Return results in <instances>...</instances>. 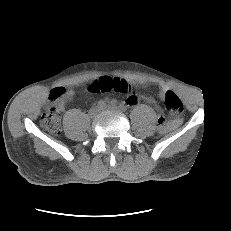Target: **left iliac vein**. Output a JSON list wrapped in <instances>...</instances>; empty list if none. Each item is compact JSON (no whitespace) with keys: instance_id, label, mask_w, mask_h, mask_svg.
Wrapping results in <instances>:
<instances>
[{"instance_id":"4c4485c4","label":"left iliac vein","mask_w":231,"mask_h":231,"mask_svg":"<svg viewBox=\"0 0 231 231\" xmlns=\"http://www.w3.org/2000/svg\"><path fill=\"white\" fill-rule=\"evenodd\" d=\"M102 111H121V109L116 105L105 106Z\"/></svg>"}]
</instances>
